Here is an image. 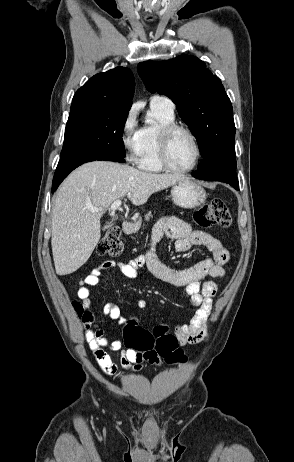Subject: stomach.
Instances as JSON below:
<instances>
[{
    "label": "stomach",
    "mask_w": 294,
    "mask_h": 462,
    "mask_svg": "<svg viewBox=\"0 0 294 462\" xmlns=\"http://www.w3.org/2000/svg\"><path fill=\"white\" fill-rule=\"evenodd\" d=\"M171 196L177 206L188 209L201 205L206 199V191L199 184L185 177L172 185Z\"/></svg>",
    "instance_id": "stomach-1"
}]
</instances>
